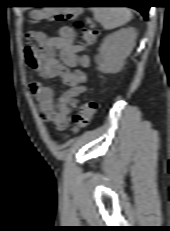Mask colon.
Segmentation results:
<instances>
[{"label":"colon","mask_w":170,"mask_h":231,"mask_svg":"<svg viewBox=\"0 0 170 231\" xmlns=\"http://www.w3.org/2000/svg\"><path fill=\"white\" fill-rule=\"evenodd\" d=\"M79 14L80 10L74 7L65 9L45 8L34 10L32 17L36 20L74 21L83 42L87 45H92L98 36V29L94 25L84 26L81 21L77 20ZM96 109L97 102L93 98L87 99L73 117L72 131H77L87 126L92 120Z\"/></svg>","instance_id":"5ec220e1"}]
</instances>
